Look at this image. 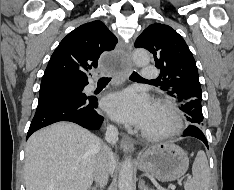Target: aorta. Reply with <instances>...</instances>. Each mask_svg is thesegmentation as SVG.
<instances>
[{
    "label": "aorta",
    "instance_id": "aorta-1",
    "mask_svg": "<svg viewBox=\"0 0 234 190\" xmlns=\"http://www.w3.org/2000/svg\"><path fill=\"white\" fill-rule=\"evenodd\" d=\"M133 61L137 66H145L149 63L150 56L144 49H136L133 54ZM119 190H133V163L131 158H126L121 165L118 177Z\"/></svg>",
    "mask_w": 234,
    "mask_h": 190
}]
</instances>
